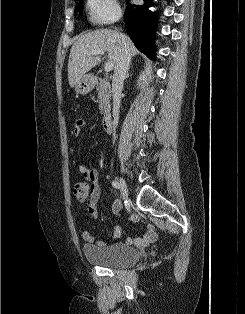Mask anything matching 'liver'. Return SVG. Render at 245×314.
<instances>
[{"label":"liver","instance_id":"liver-1","mask_svg":"<svg viewBox=\"0 0 245 314\" xmlns=\"http://www.w3.org/2000/svg\"><path fill=\"white\" fill-rule=\"evenodd\" d=\"M126 41L132 55L138 50L126 35L115 30L100 29L80 35L71 47L68 60V80L71 87L88 71L101 62L98 55H88L94 50H103L108 53L109 61L114 64L119 58L122 41Z\"/></svg>","mask_w":245,"mask_h":314}]
</instances>
